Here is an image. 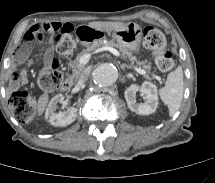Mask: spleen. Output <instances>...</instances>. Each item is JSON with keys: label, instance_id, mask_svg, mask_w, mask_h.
I'll return each mask as SVG.
<instances>
[{"label": "spleen", "instance_id": "spleen-1", "mask_svg": "<svg viewBox=\"0 0 215 183\" xmlns=\"http://www.w3.org/2000/svg\"><path fill=\"white\" fill-rule=\"evenodd\" d=\"M184 79L181 67L168 74L165 86L159 90V96L169 109V115H174L183 98Z\"/></svg>", "mask_w": 215, "mask_h": 183}]
</instances>
